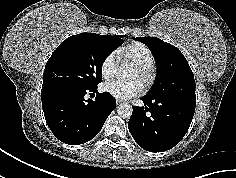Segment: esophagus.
I'll list each match as a JSON object with an SVG mask.
<instances>
[{"label":"esophagus","mask_w":236,"mask_h":178,"mask_svg":"<svg viewBox=\"0 0 236 178\" xmlns=\"http://www.w3.org/2000/svg\"><path fill=\"white\" fill-rule=\"evenodd\" d=\"M121 103H122L121 100H116V104H117V105H119V104H121Z\"/></svg>","instance_id":"obj_1"}]
</instances>
